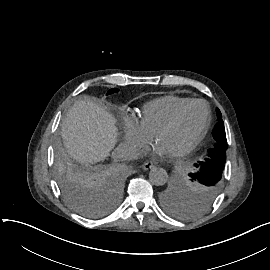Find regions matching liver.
Listing matches in <instances>:
<instances>
[{"instance_id": "1", "label": "liver", "mask_w": 270, "mask_h": 270, "mask_svg": "<svg viewBox=\"0 0 270 270\" xmlns=\"http://www.w3.org/2000/svg\"><path fill=\"white\" fill-rule=\"evenodd\" d=\"M117 119L91 100H77L62 120L61 136L69 156L80 164L104 161L117 143Z\"/></svg>"}]
</instances>
